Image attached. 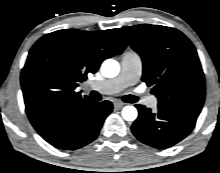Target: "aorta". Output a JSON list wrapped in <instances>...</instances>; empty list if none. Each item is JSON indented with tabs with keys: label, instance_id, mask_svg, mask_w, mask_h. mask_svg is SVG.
Masks as SVG:
<instances>
[{
	"label": "aorta",
	"instance_id": "aorta-1",
	"mask_svg": "<svg viewBox=\"0 0 220 173\" xmlns=\"http://www.w3.org/2000/svg\"><path fill=\"white\" fill-rule=\"evenodd\" d=\"M120 65L114 59H107L103 62L101 72L106 78H114L119 74ZM122 117L128 122H133L138 116L137 109L134 106H125L122 109Z\"/></svg>",
	"mask_w": 220,
	"mask_h": 173
}]
</instances>
